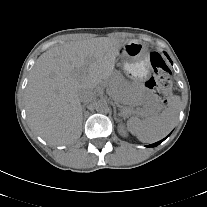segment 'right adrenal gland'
<instances>
[{"label":"right adrenal gland","instance_id":"obj_1","mask_svg":"<svg viewBox=\"0 0 207 207\" xmlns=\"http://www.w3.org/2000/svg\"><path fill=\"white\" fill-rule=\"evenodd\" d=\"M86 104L82 105V111L85 112Z\"/></svg>","mask_w":207,"mask_h":207}]
</instances>
